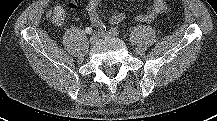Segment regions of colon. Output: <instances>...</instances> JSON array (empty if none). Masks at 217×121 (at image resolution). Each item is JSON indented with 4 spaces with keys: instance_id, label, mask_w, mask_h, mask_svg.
Instances as JSON below:
<instances>
[{
    "instance_id": "colon-1",
    "label": "colon",
    "mask_w": 217,
    "mask_h": 121,
    "mask_svg": "<svg viewBox=\"0 0 217 121\" xmlns=\"http://www.w3.org/2000/svg\"><path fill=\"white\" fill-rule=\"evenodd\" d=\"M168 1H175V0H168ZM66 17H67L66 7L61 4L54 5L48 11V19L54 25L60 26L64 24V22L66 21Z\"/></svg>"
}]
</instances>
